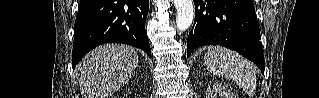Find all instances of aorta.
Segmentation results:
<instances>
[{"mask_svg": "<svg viewBox=\"0 0 319 98\" xmlns=\"http://www.w3.org/2000/svg\"><path fill=\"white\" fill-rule=\"evenodd\" d=\"M177 9V29L179 31L187 30L192 24L194 17V7L192 0H173Z\"/></svg>", "mask_w": 319, "mask_h": 98, "instance_id": "aorta-1", "label": "aorta"}]
</instances>
